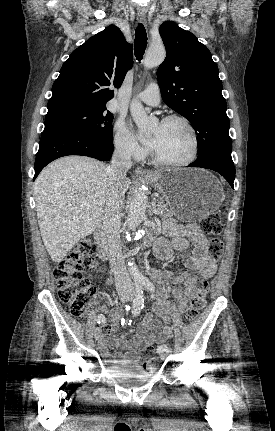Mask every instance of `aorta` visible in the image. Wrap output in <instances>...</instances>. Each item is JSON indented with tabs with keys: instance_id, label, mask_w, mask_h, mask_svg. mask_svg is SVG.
<instances>
[{
	"instance_id": "obj_1",
	"label": "aorta",
	"mask_w": 275,
	"mask_h": 431,
	"mask_svg": "<svg viewBox=\"0 0 275 431\" xmlns=\"http://www.w3.org/2000/svg\"><path fill=\"white\" fill-rule=\"evenodd\" d=\"M165 56L166 52L163 46L150 47L144 58V66L146 68L156 67L164 61ZM130 112L138 128L144 132L150 129L155 124V120L148 117L143 108V105L139 101L133 100L131 102ZM146 208V190L140 187L138 190L135 191L132 201L130 203L127 220L129 229H134L141 223L142 219L145 217ZM128 266L129 272L133 276L135 282H143L144 276L140 272L137 265L133 262H129Z\"/></svg>"
}]
</instances>
